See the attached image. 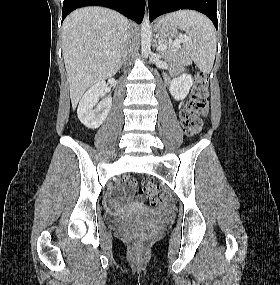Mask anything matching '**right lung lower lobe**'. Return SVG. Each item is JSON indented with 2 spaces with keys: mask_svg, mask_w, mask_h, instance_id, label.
<instances>
[{
  "mask_svg": "<svg viewBox=\"0 0 280 285\" xmlns=\"http://www.w3.org/2000/svg\"><path fill=\"white\" fill-rule=\"evenodd\" d=\"M84 6H104L119 11L128 18L141 23L145 0H64L62 21L73 10Z\"/></svg>",
  "mask_w": 280,
  "mask_h": 285,
  "instance_id": "1",
  "label": "right lung lower lobe"
}]
</instances>
